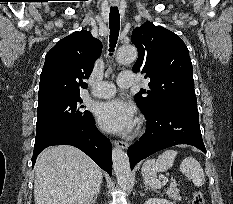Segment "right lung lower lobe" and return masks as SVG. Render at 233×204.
Returning a JSON list of instances; mask_svg holds the SVG:
<instances>
[{
  "label": "right lung lower lobe",
  "instance_id": "98d812e1",
  "mask_svg": "<svg viewBox=\"0 0 233 204\" xmlns=\"http://www.w3.org/2000/svg\"><path fill=\"white\" fill-rule=\"evenodd\" d=\"M71 145L86 153L109 175H112V148L111 142L95 126L91 116L87 121L78 125L63 127L35 139L32 168L38 154L48 146Z\"/></svg>",
  "mask_w": 233,
  "mask_h": 204
}]
</instances>
